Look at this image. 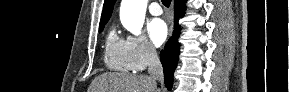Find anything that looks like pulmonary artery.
Returning a JSON list of instances; mask_svg holds the SVG:
<instances>
[{"label":"pulmonary artery","mask_w":289,"mask_h":92,"mask_svg":"<svg viewBox=\"0 0 289 92\" xmlns=\"http://www.w3.org/2000/svg\"><path fill=\"white\" fill-rule=\"evenodd\" d=\"M149 12L154 16H159L162 14V8L157 2H152L149 5Z\"/></svg>","instance_id":"e3ab8cb5"}]
</instances>
